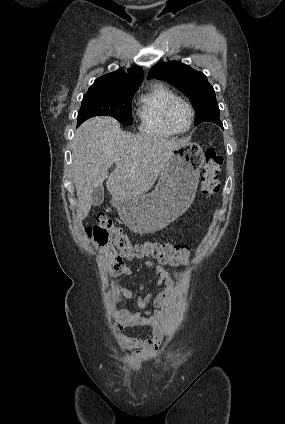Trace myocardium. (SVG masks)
Instances as JSON below:
<instances>
[{
  "label": "myocardium",
  "instance_id": "f54148a6",
  "mask_svg": "<svg viewBox=\"0 0 285 424\" xmlns=\"http://www.w3.org/2000/svg\"><path fill=\"white\" fill-rule=\"evenodd\" d=\"M177 103H183L184 105H186V107L189 109V112H190L189 126L187 127V129H185L183 131L177 130L172 125L171 120H170L171 111ZM194 120H195V110H194L192 104L187 99L177 96L167 104L165 111H164V121H165L166 126L169 128V130L172 133L179 134V135L188 133L191 130V128L193 127Z\"/></svg>",
  "mask_w": 285,
  "mask_h": 424
}]
</instances>
